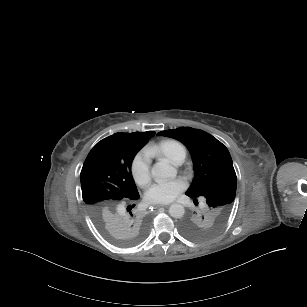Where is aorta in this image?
Instances as JSON below:
<instances>
[{"mask_svg":"<svg viewBox=\"0 0 307 307\" xmlns=\"http://www.w3.org/2000/svg\"><path fill=\"white\" fill-rule=\"evenodd\" d=\"M152 176L157 180L174 179L177 176V169L173 167L168 159H162L155 163L151 169ZM185 213L184 206L178 203H173L169 207V214L173 218L180 219Z\"/></svg>","mask_w":307,"mask_h":307,"instance_id":"1","label":"aorta"}]
</instances>
